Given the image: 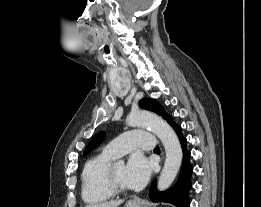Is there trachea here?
<instances>
[{
	"instance_id": "obj_1",
	"label": "trachea",
	"mask_w": 261,
	"mask_h": 207,
	"mask_svg": "<svg viewBox=\"0 0 261 207\" xmlns=\"http://www.w3.org/2000/svg\"><path fill=\"white\" fill-rule=\"evenodd\" d=\"M154 150H160L159 147H156Z\"/></svg>"
}]
</instances>
